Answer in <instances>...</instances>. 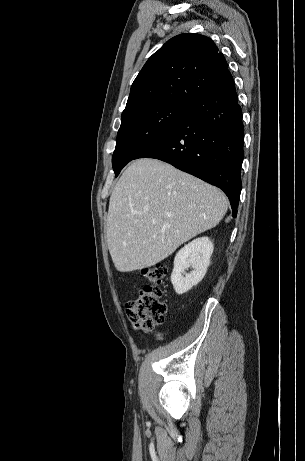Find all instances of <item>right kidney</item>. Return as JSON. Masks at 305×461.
Segmentation results:
<instances>
[{"instance_id": "ca27d5eb", "label": "right kidney", "mask_w": 305, "mask_h": 461, "mask_svg": "<svg viewBox=\"0 0 305 461\" xmlns=\"http://www.w3.org/2000/svg\"><path fill=\"white\" fill-rule=\"evenodd\" d=\"M213 249V244L208 237H200L185 245L176 254L171 282L178 295L186 293L203 279ZM189 267L193 270L185 273Z\"/></svg>"}]
</instances>
